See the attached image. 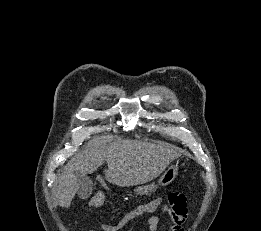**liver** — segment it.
<instances>
[{
    "label": "liver",
    "instance_id": "liver-1",
    "mask_svg": "<svg viewBox=\"0 0 261 231\" xmlns=\"http://www.w3.org/2000/svg\"><path fill=\"white\" fill-rule=\"evenodd\" d=\"M176 149L136 140H116L108 145H98L93 139L90 146L68 161L58 180L57 195L59 205L69 208L79 189L77 175L92 174L105 162L108 182L129 187L147 183L179 157Z\"/></svg>",
    "mask_w": 261,
    "mask_h": 231
}]
</instances>
